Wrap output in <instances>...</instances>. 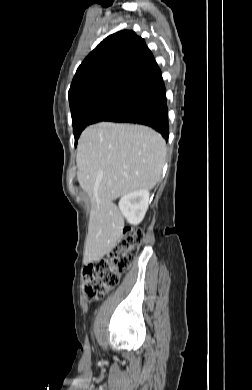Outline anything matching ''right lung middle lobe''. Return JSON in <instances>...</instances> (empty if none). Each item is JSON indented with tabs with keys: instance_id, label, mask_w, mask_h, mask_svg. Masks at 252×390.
Wrapping results in <instances>:
<instances>
[{
	"instance_id": "obj_1",
	"label": "right lung middle lobe",
	"mask_w": 252,
	"mask_h": 390,
	"mask_svg": "<svg viewBox=\"0 0 252 390\" xmlns=\"http://www.w3.org/2000/svg\"><path fill=\"white\" fill-rule=\"evenodd\" d=\"M134 100L127 97H103L88 101L71 111L75 145L86 126L105 121L128 107Z\"/></svg>"
}]
</instances>
